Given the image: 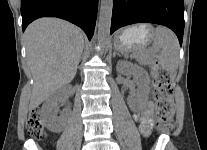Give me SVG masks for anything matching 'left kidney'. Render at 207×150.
I'll use <instances>...</instances> for the list:
<instances>
[{
  "label": "left kidney",
  "instance_id": "1",
  "mask_svg": "<svg viewBox=\"0 0 207 150\" xmlns=\"http://www.w3.org/2000/svg\"><path fill=\"white\" fill-rule=\"evenodd\" d=\"M117 71L122 74H133L138 85V97L129 98L128 103L134 112H140L145 108L148 101L149 77L146 72L139 66L128 61H120L117 64Z\"/></svg>",
  "mask_w": 207,
  "mask_h": 150
}]
</instances>
